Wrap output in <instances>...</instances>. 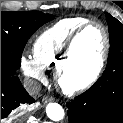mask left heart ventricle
I'll return each instance as SVG.
<instances>
[{
	"label": "left heart ventricle",
	"mask_w": 123,
	"mask_h": 123,
	"mask_svg": "<svg viewBox=\"0 0 123 123\" xmlns=\"http://www.w3.org/2000/svg\"><path fill=\"white\" fill-rule=\"evenodd\" d=\"M104 45L103 34L96 25L89 27L77 40L68 75L73 81H81L94 71Z\"/></svg>",
	"instance_id": "b2bd125f"
}]
</instances>
